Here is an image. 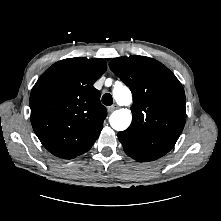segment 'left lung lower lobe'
I'll return each mask as SVG.
<instances>
[{"label":"left lung lower lobe","instance_id":"1","mask_svg":"<svg viewBox=\"0 0 221 221\" xmlns=\"http://www.w3.org/2000/svg\"><path fill=\"white\" fill-rule=\"evenodd\" d=\"M119 141L122 143L124 151L126 152L127 155H129L130 157H132L133 159L137 160V161H153L155 159L151 158V157H147L145 155L140 154L139 152L135 151L134 149H132L131 147H129L127 145V143L121 139L118 136Z\"/></svg>","mask_w":221,"mask_h":221}]
</instances>
